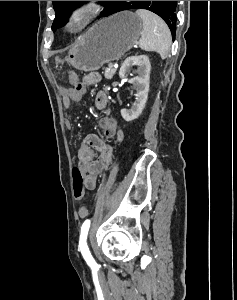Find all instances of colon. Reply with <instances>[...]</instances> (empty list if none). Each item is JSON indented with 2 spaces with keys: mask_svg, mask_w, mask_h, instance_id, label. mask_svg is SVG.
<instances>
[{
  "mask_svg": "<svg viewBox=\"0 0 237 300\" xmlns=\"http://www.w3.org/2000/svg\"><path fill=\"white\" fill-rule=\"evenodd\" d=\"M73 89L78 95H83L85 87L82 83H77L73 85ZM72 177L74 195L77 200L82 201L85 195L83 175L78 168H74L72 172Z\"/></svg>",
  "mask_w": 237,
  "mask_h": 300,
  "instance_id": "1",
  "label": "colon"
}]
</instances>
